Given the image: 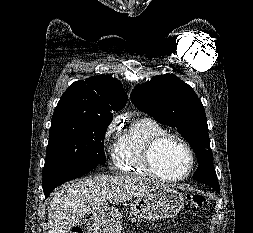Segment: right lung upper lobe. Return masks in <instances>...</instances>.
<instances>
[{
	"instance_id": "1",
	"label": "right lung upper lobe",
	"mask_w": 253,
	"mask_h": 233,
	"mask_svg": "<svg viewBox=\"0 0 253 233\" xmlns=\"http://www.w3.org/2000/svg\"><path fill=\"white\" fill-rule=\"evenodd\" d=\"M127 102L121 82L109 75L74 82L62 95L55 110H72L113 116Z\"/></svg>"
}]
</instances>
